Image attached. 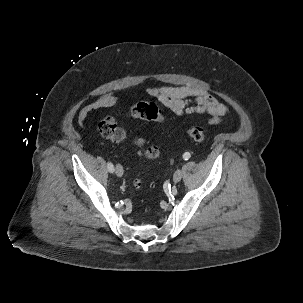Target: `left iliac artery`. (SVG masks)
<instances>
[{"mask_svg": "<svg viewBox=\"0 0 303 303\" xmlns=\"http://www.w3.org/2000/svg\"><path fill=\"white\" fill-rule=\"evenodd\" d=\"M190 157H191V154H190L189 152H185V153L183 154V159H184V160H188Z\"/></svg>", "mask_w": 303, "mask_h": 303, "instance_id": "44dca946", "label": "left iliac artery"}]
</instances>
